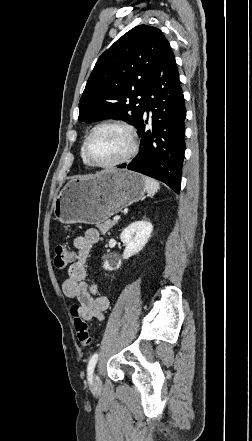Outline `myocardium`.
<instances>
[{"label": "myocardium", "mask_w": 252, "mask_h": 441, "mask_svg": "<svg viewBox=\"0 0 252 441\" xmlns=\"http://www.w3.org/2000/svg\"><path fill=\"white\" fill-rule=\"evenodd\" d=\"M104 127H116V128L123 130L128 138L129 148H128L127 152L116 161L109 162V163H98L90 158V156L88 154V145H89L90 139L95 134V132L101 128H104ZM137 149H138V142H137V136H136V132H135L134 128L130 124L123 122V121H119V120H106V121H102V122L96 124L91 129L89 134L86 136V138L83 142V145H82L83 156H84L85 160L87 161V163L92 167L103 168V169H110V168H115V167H119L121 165H124L125 163H127L128 161L131 160V158L137 152Z\"/></svg>", "instance_id": "myocardium-1"}]
</instances>
